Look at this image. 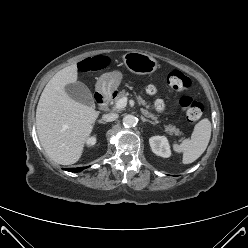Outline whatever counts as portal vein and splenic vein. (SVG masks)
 <instances>
[{
	"mask_svg": "<svg viewBox=\"0 0 248 248\" xmlns=\"http://www.w3.org/2000/svg\"><path fill=\"white\" fill-rule=\"evenodd\" d=\"M128 98L123 97L119 99V101L115 104L114 109H121L124 108L127 105Z\"/></svg>",
	"mask_w": 248,
	"mask_h": 248,
	"instance_id": "1",
	"label": "portal vein and splenic vein"
}]
</instances>
